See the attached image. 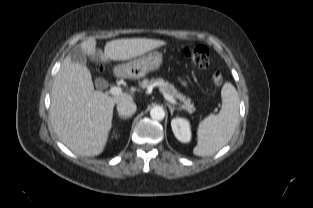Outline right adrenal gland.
Returning a JSON list of instances; mask_svg holds the SVG:
<instances>
[{"mask_svg":"<svg viewBox=\"0 0 313 208\" xmlns=\"http://www.w3.org/2000/svg\"><path fill=\"white\" fill-rule=\"evenodd\" d=\"M118 116H119L121 119H124V120H127V119L131 118V116H123V115H120V114H118Z\"/></svg>","mask_w":313,"mask_h":208,"instance_id":"1","label":"right adrenal gland"}]
</instances>
